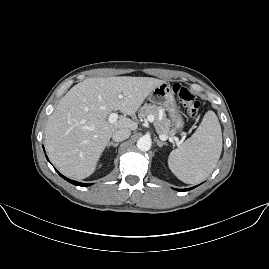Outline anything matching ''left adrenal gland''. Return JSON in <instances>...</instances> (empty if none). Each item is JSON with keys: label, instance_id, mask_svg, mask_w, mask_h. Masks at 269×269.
Instances as JSON below:
<instances>
[{"label": "left adrenal gland", "instance_id": "1", "mask_svg": "<svg viewBox=\"0 0 269 269\" xmlns=\"http://www.w3.org/2000/svg\"><path fill=\"white\" fill-rule=\"evenodd\" d=\"M156 143L158 145V147H162L163 145H167L165 142H161L156 138Z\"/></svg>", "mask_w": 269, "mask_h": 269}]
</instances>
